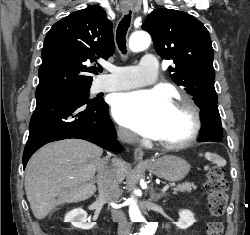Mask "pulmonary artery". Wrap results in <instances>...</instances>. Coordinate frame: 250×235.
Returning <instances> with one entry per match:
<instances>
[{
	"label": "pulmonary artery",
	"instance_id": "e3ab8cb5",
	"mask_svg": "<svg viewBox=\"0 0 250 235\" xmlns=\"http://www.w3.org/2000/svg\"><path fill=\"white\" fill-rule=\"evenodd\" d=\"M157 67V59L152 54H145L139 65L114 67V72L106 81L97 83V90L111 92L150 84L155 80Z\"/></svg>",
	"mask_w": 250,
	"mask_h": 235
}]
</instances>
